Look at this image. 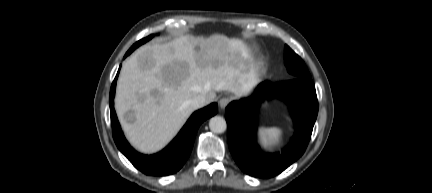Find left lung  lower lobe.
I'll use <instances>...</instances> for the list:
<instances>
[{
    "instance_id": "left-lung-lower-lobe-1",
    "label": "left lung lower lobe",
    "mask_w": 432,
    "mask_h": 193,
    "mask_svg": "<svg viewBox=\"0 0 432 193\" xmlns=\"http://www.w3.org/2000/svg\"><path fill=\"white\" fill-rule=\"evenodd\" d=\"M254 99L230 103L225 116L228 128V144L238 166L246 174L254 177H273L293 162L305 151L310 140L318 114V101L315 85L311 78H293L288 81L263 82L256 89ZM278 97L286 101L295 122L296 133L281 153H264L255 141L257 100Z\"/></svg>"
}]
</instances>
